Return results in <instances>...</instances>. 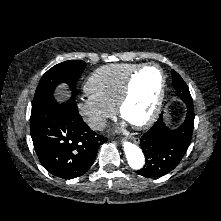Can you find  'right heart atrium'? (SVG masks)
Instances as JSON below:
<instances>
[{"label": "right heart atrium", "mask_w": 221, "mask_h": 221, "mask_svg": "<svg viewBox=\"0 0 221 221\" xmlns=\"http://www.w3.org/2000/svg\"><path fill=\"white\" fill-rule=\"evenodd\" d=\"M77 110L88 126L94 130H103L114 109L87 96L77 102Z\"/></svg>", "instance_id": "right-heart-atrium-1"}]
</instances>
